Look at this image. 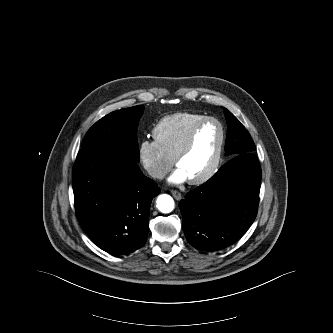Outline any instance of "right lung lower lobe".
I'll return each mask as SVG.
<instances>
[{
    "instance_id": "obj_1",
    "label": "right lung lower lobe",
    "mask_w": 333,
    "mask_h": 333,
    "mask_svg": "<svg viewBox=\"0 0 333 333\" xmlns=\"http://www.w3.org/2000/svg\"><path fill=\"white\" fill-rule=\"evenodd\" d=\"M73 191L77 219L99 248L123 255L144 245L150 204L160 189L136 160L112 149L80 151Z\"/></svg>"
}]
</instances>
